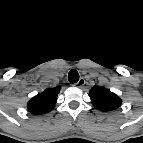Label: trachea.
Returning <instances> with one entry per match:
<instances>
[{"instance_id": "3493384b", "label": "trachea", "mask_w": 143, "mask_h": 143, "mask_svg": "<svg viewBox=\"0 0 143 143\" xmlns=\"http://www.w3.org/2000/svg\"><path fill=\"white\" fill-rule=\"evenodd\" d=\"M68 80H69V82L71 84L78 82V80H79V73L77 72V70L72 69V70L69 71Z\"/></svg>"}]
</instances>
